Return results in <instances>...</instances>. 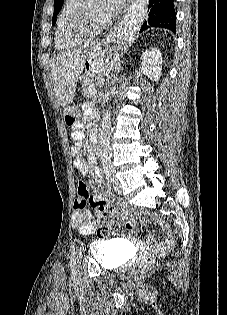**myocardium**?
Returning a JSON list of instances; mask_svg holds the SVG:
<instances>
[{
	"instance_id": "myocardium-1",
	"label": "myocardium",
	"mask_w": 227,
	"mask_h": 315,
	"mask_svg": "<svg viewBox=\"0 0 227 315\" xmlns=\"http://www.w3.org/2000/svg\"><path fill=\"white\" fill-rule=\"evenodd\" d=\"M106 21H94L88 11V0H82L69 21L67 34L71 39L94 36L104 29Z\"/></svg>"
}]
</instances>
